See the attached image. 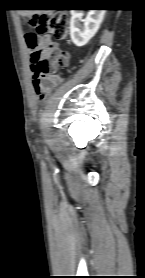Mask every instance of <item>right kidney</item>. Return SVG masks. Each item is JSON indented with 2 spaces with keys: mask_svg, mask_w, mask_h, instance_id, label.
<instances>
[{
  "mask_svg": "<svg viewBox=\"0 0 145 278\" xmlns=\"http://www.w3.org/2000/svg\"><path fill=\"white\" fill-rule=\"evenodd\" d=\"M83 15V10H71L70 37L78 47L86 45L96 34L105 10H88L85 19H82Z\"/></svg>",
  "mask_w": 145,
  "mask_h": 278,
  "instance_id": "obj_1",
  "label": "right kidney"
}]
</instances>
